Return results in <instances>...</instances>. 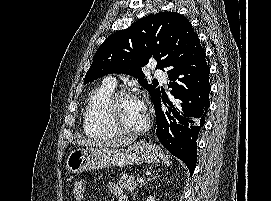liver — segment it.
Listing matches in <instances>:
<instances>
[{"instance_id": "6515ba94", "label": "liver", "mask_w": 271, "mask_h": 201, "mask_svg": "<svg viewBox=\"0 0 271 201\" xmlns=\"http://www.w3.org/2000/svg\"><path fill=\"white\" fill-rule=\"evenodd\" d=\"M134 142V138H116L113 140H92V139H80L75 140L73 144L93 146V147H123Z\"/></svg>"}]
</instances>
